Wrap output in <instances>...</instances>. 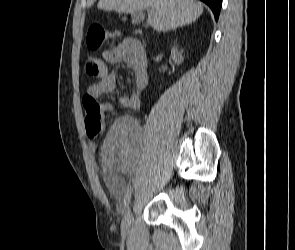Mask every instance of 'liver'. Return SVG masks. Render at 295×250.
<instances>
[{"label":"liver","mask_w":295,"mask_h":250,"mask_svg":"<svg viewBox=\"0 0 295 250\" xmlns=\"http://www.w3.org/2000/svg\"><path fill=\"white\" fill-rule=\"evenodd\" d=\"M97 8L119 13L152 8L147 21L158 32L189 25L203 13V5L194 0H99Z\"/></svg>","instance_id":"obj_1"}]
</instances>
